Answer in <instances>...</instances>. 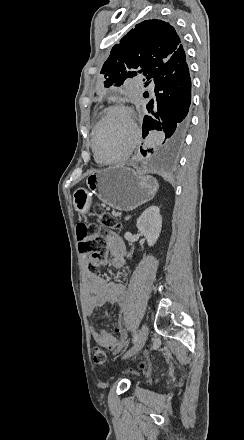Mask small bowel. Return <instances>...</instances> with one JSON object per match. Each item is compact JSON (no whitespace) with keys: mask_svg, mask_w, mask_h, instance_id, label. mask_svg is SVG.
<instances>
[{"mask_svg":"<svg viewBox=\"0 0 244 440\" xmlns=\"http://www.w3.org/2000/svg\"><path fill=\"white\" fill-rule=\"evenodd\" d=\"M107 246L111 264L119 271L118 276L120 280L109 282L96 273L87 270L84 272L86 304L89 315H92L96 308H103L106 311L107 306L110 305H117L123 310L126 309L127 291L124 280L127 278V273L123 270L126 247L122 238L116 233L108 235ZM115 332L118 337L110 334L105 329H97L92 325L90 326V335L96 344L108 351L119 354L127 346L128 337L121 323L118 324Z\"/></svg>","mask_w":244,"mask_h":440,"instance_id":"obj_1","label":"small bowel"}]
</instances>
